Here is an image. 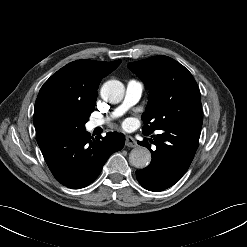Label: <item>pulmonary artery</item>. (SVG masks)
Returning a JSON list of instances; mask_svg holds the SVG:
<instances>
[{"instance_id":"obj_1","label":"pulmonary artery","mask_w":247,"mask_h":247,"mask_svg":"<svg viewBox=\"0 0 247 247\" xmlns=\"http://www.w3.org/2000/svg\"><path fill=\"white\" fill-rule=\"evenodd\" d=\"M143 92V84L136 80L128 82L126 87V93L122 104L115 109L110 117L106 118H94L88 122V129L92 130L106 124L111 118L117 117L123 114L128 108L135 105L141 98Z\"/></svg>"}]
</instances>
